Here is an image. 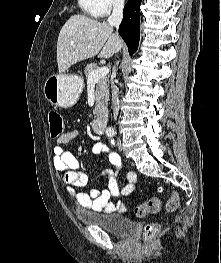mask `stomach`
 Returning <instances> with one entry per match:
<instances>
[{
	"mask_svg": "<svg viewBox=\"0 0 221 263\" xmlns=\"http://www.w3.org/2000/svg\"><path fill=\"white\" fill-rule=\"evenodd\" d=\"M84 88L83 79L76 74L51 75L45 81V98L54 106L72 107Z\"/></svg>",
	"mask_w": 221,
	"mask_h": 263,
	"instance_id": "stomach-1",
	"label": "stomach"
}]
</instances>
